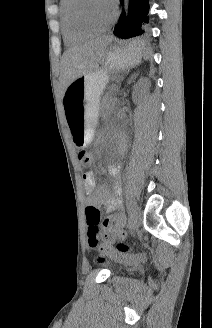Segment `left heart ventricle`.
Segmentation results:
<instances>
[{
	"instance_id": "obj_1",
	"label": "left heart ventricle",
	"mask_w": 212,
	"mask_h": 328,
	"mask_svg": "<svg viewBox=\"0 0 212 328\" xmlns=\"http://www.w3.org/2000/svg\"><path fill=\"white\" fill-rule=\"evenodd\" d=\"M82 13L90 23L103 26L112 19L114 7L107 0H87Z\"/></svg>"
}]
</instances>
